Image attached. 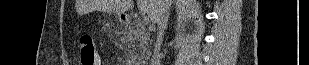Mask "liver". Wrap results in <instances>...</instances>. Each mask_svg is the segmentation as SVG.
<instances>
[{"instance_id":"6515ba94","label":"liver","mask_w":309,"mask_h":65,"mask_svg":"<svg viewBox=\"0 0 309 65\" xmlns=\"http://www.w3.org/2000/svg\"><path fill=\"white\" fill-rule=\"evenodd\" d=\"M137 4L140 12L147 13L150 20L157 23L164 8V0H137ZM133 7V0H81L78 3L80 13L97 10L121 15Z\"/></svg>"}]
</instances>
